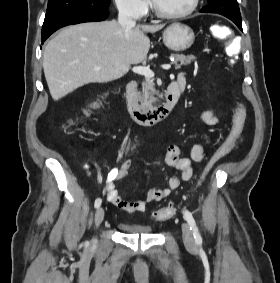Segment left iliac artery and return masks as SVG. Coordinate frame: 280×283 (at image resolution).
<instances>
[{
    "label": "left iliac artery",
    "mask_w": 280,
    "mask_h": 283,
    "mask_svg": "<svg viewBox=\"0 0 280 283\" xmlns=\"http://www.w3.org/2000/svg\"><path fill=\"white\" fill-rule=\"evenodd\" d=\"M183 215H184L185 220L190 226V230L193 232L196 243L197 244L202 243V237L199 233L198 227L196 225V222L194 220L192 213L188 210H185L183 211Z\"/></svg>",
    "instance_id": "1"
}]
</instances>
